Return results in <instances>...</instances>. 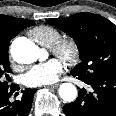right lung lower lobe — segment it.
Wrapping results in <instances>:
<instances>
[{
  "instance_id": "98d812e1",
  "label": "right lung lower lobe",
  "mask_w": 116,
  "mask_h": 116,
  "mask_svg": "<svg viewBox=\"0 0 116 116\" xmlns=\"http://www.w3.org/2000/svg\"><path fill=\"white\" fill-rule=\"evenodd\" d=\"M16 89L0 94V116H27L31 110L33 95L36 89H25L22 91L20 100L10 102V97Z\"/></svg>"
}]
</instances>
